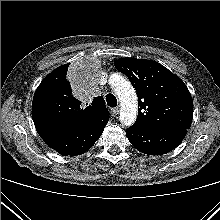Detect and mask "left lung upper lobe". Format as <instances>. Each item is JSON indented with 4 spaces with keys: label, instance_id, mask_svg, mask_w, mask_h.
I'll list each match as a JSON object with an SVG mask.
<instances>
[{
    "label": "left lung upper lobe",
    "instance_id": "1",
    "mask_svg": "<svg viewBox=\"0 0 220 220\" xmlns=\"http://www.w3.org/2000/svg\"><path fill=\"white\" fill-rule=\"evenodd\" d=\"M114 65L125 74L138 95L136 125L153 129H189L193 101L185 83L163 65L137 58H121Z\"/></svg>",
    "mask_w": 220,
    "mask_h": 220
}]
</instances>
